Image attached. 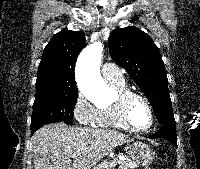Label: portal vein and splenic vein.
<instances>
[{"instance_id": "1", "label": "portal vein and splenic vein", "mask_w": 200, "mask_h": 169, "mask_svg": "<svg viewBox=\"0 0 200 169\" xmlns=\"http://www.w3.org/2000/svg\"><path fill=\"white\" fill-rule=\"evenodd\" d=\"M116 165H117V164H116L115 162H113V163L110 164L111 167H114V166H116Z\"/></svg>"}]
</instances>
